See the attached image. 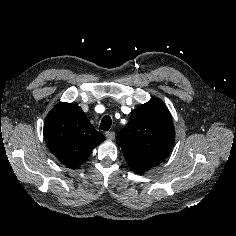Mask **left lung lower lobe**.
<instances>
[{"label": "left lung lower lobe", "mask_w": 236, "mask_h": 236, "mask_svg": "<svg viewBox=\"0 0 236 236\" xmlns=\"http://www.w3.org/2000/svg\"><path fill=\"white\" fill-rule=\"evenodd\" d=\"M129 165L131 166L132 170L136 174H143L144 172H146L147 170L152 168L150 166L143 165V164H138V163H130Z\"/></svg>", "instance_id": "left-lung-lower-lobe-1"}]
</instances>
